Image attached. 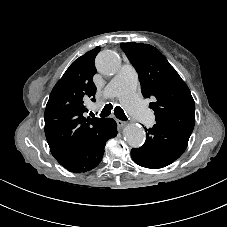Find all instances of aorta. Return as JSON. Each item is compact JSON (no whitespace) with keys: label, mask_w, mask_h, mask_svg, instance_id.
Masks as SVG:
<instances>
[{"label":"aorta","mask_w":227,"mask_h":227,"mask_svg":"<svg viewBox=\"0 0 227 227\" xmlns=\"http://www.w3.org/2000/svg\"><path fill=\"white\" fill-rule=\"evenodd\" d=\"M96 67L104 75H115L121 67L120 57L111 50L101 51L96 57ZM123 135L130 146L140 147L145 141L146 133L142 126L130 123L124 128Z\"/></svg>","instance_id":"762f6f07"}]
</instances>
